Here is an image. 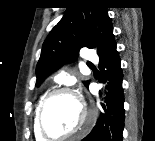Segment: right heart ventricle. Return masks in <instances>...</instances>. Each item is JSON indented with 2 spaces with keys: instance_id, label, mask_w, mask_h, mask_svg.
<instances>
[{
  "instance_id": "1",
  "label": "right heart ventricle",
  "mask_w": 155,
  "mask_h": 141,
  "mask_svg": "<svg viewBox=\"0 0 155 141\" xmlns=\"http://www.w3.org/2000/svg\"><path fill=\"white\" fill-rule=\"evenodd\" d=\"M38 106H39V104H38ZM38 106L36 107L34 117H33V129H34V135H35L36 140L43 141L44 138L39 133L38 128H37V122H36Z\"/></svg>"
}]
</instances>
